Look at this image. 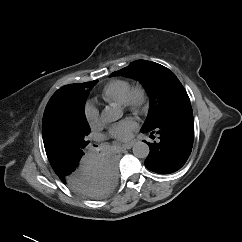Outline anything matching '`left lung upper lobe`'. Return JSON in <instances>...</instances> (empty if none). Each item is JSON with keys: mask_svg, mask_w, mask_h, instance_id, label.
I'll list each match as a JSON object with an SVG mask.
<instances>
[{"mask_svg": "<svg viewBox=\"0 0 242 242\" xmlns=\"http://www.w3.org/2000/svg\"><path fill=\"white\" fill-rule=\"evenodd\" d=\"M123 75L139 80L150 96V108L142 129L152 128L179 106L190 103L184 87L168 68L146 60L132 62L110 76Z\"/></svg>", "mask_w": 242, "mask_h": 242, "instance_id": "left-lung-upper-lobe-1", "label": "left lung upper lobe"}]
</instances>
